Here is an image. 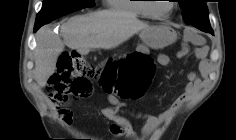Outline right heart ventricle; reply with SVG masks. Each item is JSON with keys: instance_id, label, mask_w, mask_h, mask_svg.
Returning a JSON list of instances; mask_svg holds the SVG:
<instances>
[{"instance_id": "right-heart-ventricle-1", "label": "right heart ventricle", "mask_w": 236, "mask_h": 140, "mask_svg": "<svg viewBox=\"0 0 236 140\" xmlns=\"http://www.w3.org/2000/svg\"><path fill=\"white\" fill-rule=\"evenodd\" d=\"M145 0H110L109 7L118 12H125L136 16H150L145 3Z\"/></svg>"}]
</instances>
